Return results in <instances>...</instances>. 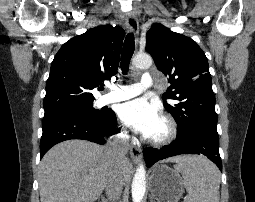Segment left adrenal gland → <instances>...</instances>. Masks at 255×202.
<instances>
[{
  "label": "left adrenal gland",
  "instance_id": "obj_1",
  "mask_svg": "<svg viewBox=\"0 0 255 202\" xmlns=\"http://www.w3.org/2000/svg\"><path fill=\"white\" fill-rule=\"evenodd\" d=\"M150 202H154L152 197H150Z\"/></svg>",
  "mask_w": 255,
  "mask_h": 202
}]
</instances>
